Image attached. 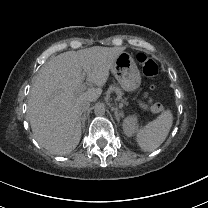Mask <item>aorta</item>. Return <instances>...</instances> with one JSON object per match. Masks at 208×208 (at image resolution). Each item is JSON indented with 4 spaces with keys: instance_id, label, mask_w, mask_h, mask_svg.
Wrapping results in <instances>:
<instances>
[{
    "instance_id": "1",
    "label": "aorta",
    "mask_w": 208,
    "mask_h": 208,
    "mask_svg": "<svg viewBox=\"0 0 208 208\" xmlns=\"http://www.w3.org/2000/svg\"><path fill=\"white\" fill-rule=\"evenodd\" d=\"M94 114L97 117H102L105 114V106L104 104H97L94 107Z\"/></svg>"
}]
</instances>
